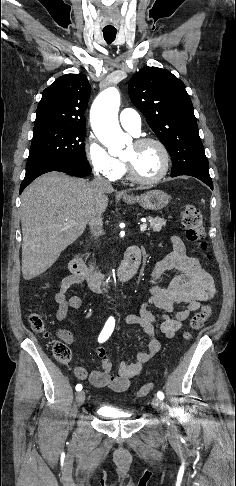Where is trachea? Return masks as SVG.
I'll use <instances>...</instances> for the list:
<instances>
[{
	"mask_svg": "<svg viewBox=\"0 0 236 486\" xmlns=\"http://www.w3.org/2000/svg\"><path fill=\"white\" fill-rule=\"evenodd\" d=\"M116 33L117 31L114 29V30H111V29H104L103 30V35H104V39L107 43H112L115 38H116Z\"/></svg>",
	"mask_w": 236,
	"mask_h": 486,
	"instance_id": "trachea-1",
	"label": "trachea"
}]
</instances>
